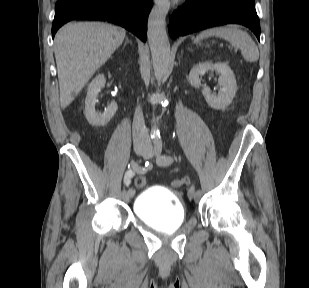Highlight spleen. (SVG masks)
Returning <instances> with one entry per match:
<instances>
[{
  "label": "spleen",
  "mask_w": 309,
  "mask_h": 288,
  "mask_svg": "<svg viewBox=\"0 0 309 288\" xmlns=\"http://www.w3.org/2000/svg\"><path fill=\"white\" fill-rule=\"evenodd\" d=\"M219 37L227 40L231 45L241 50L243 58L248 62H256L259 59V51L250 35L235 26L215 27L202 31L196 40Z\"/></svg>",
  "instance_id": "3e777b00"
}]
</instances>
